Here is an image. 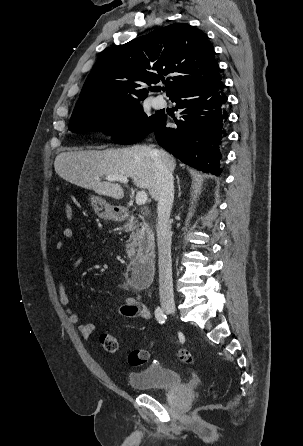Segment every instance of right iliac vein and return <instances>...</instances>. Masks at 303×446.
Here are the masks:
<instances>
[{"label": "right iliac vein", "instance_id": "obj_1", "mask_svg": "<svg viewBox=\"0 0 303 446\" xmlns=\"http://www.w3.org/2000/svg\"><path fill=\"white\" fill-rule=\"evenodd\" d=\"M163 307L168 313L175 314L176 312L175 305L172 303H166L163 305Z\"/></svg>", "mask_w": 303, "mask_h": 446}]
</instances>
